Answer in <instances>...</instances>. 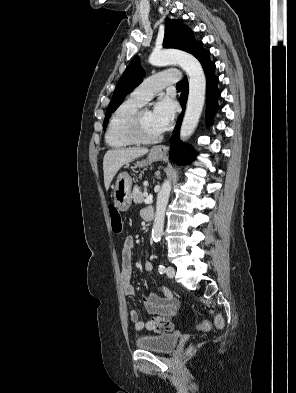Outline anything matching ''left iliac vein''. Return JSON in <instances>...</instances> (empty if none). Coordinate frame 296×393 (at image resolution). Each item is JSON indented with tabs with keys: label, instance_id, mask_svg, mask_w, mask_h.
I'll return each instance as SVG.
<instances>
[{
	"label": "left iliac vein",
	"instance_id": "left-iliac-vein-1",
	"mask_svg": "<svg viewBox=\"0 0 296 393\" xmlns=\"http://www.w3.org/2000/svg\"><path fill=\"white\" fill-rule=\"evenodd\" d=\"M166 274H167V276H168L169 278H173L174 275H175V269H174V267H173V266H168V267H167V272H166Z\"/></svg>",
	"mask_w": 296,
	"mask_h": 393
}]
</instances>
